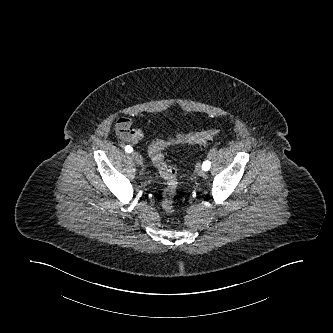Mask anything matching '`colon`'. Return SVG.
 Returning a JSON list of instances; mask_svg holds the SVG:
<instances>
[{
  "mask_svg": "<svg viewBox=\"0 0 333 333\" xmlns=\"http://www.w3.org/2000/svg\"><path fill=\"white\" fill-rule=\"evenodd\" d=\"M218 134L219 131L217 129L197 133L179 134L173 138L157 139L150 145L149 156L159 174L166 182L161 201L162 209L166 213L171 214L174 211V197L178 188V179L175 169L165 163L163 150L173 144H205Z\"/></svg>",
  "mask_w": 333,
  "mask_h": 333,
  "instance_id": "colon-1",
  "label": "colon"
}]
</instances>
